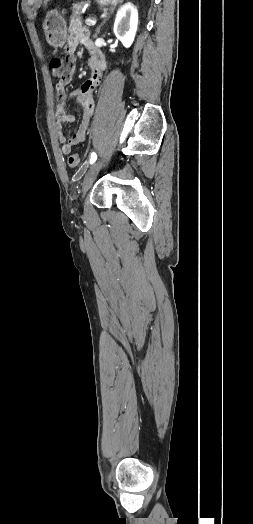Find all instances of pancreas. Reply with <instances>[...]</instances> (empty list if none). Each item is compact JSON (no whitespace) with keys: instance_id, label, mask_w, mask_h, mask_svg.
Segmentation results:
<instances>
[{"instance_id":"cf45deb5","label":"pancreas","mask_w":253,"mask_h":524,"mask_svg":"<svg viewBox=\"0 0 253 524\" xmlns=\"http://www.w3.org/2000/svg\"><path fill=\"white\" fill-rule=\"evenodd\" d=\"M86 5H87V3L84 2V1L74 3L73 6H72V18L80 17V15L82 14L83 8Z\"/></svg>"}]
</instances>
